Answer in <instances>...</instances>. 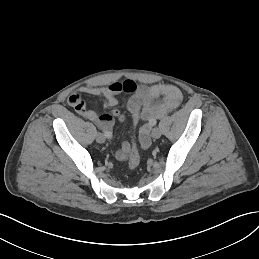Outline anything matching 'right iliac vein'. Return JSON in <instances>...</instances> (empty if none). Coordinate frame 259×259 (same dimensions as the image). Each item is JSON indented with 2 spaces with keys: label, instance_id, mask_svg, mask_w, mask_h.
Instances as JSON below:
<instances>
[{
  "label": "right iliac vein",
  "instance_id": "obj_1",
  "mask_svg": "<svg viewBox=\"0 0 259 259\" xmlns=\"http://www.w3.org/2000/svg\"><path fill=\"white\" fill-rule=\"evenodd\" d=\"M96 140L98 143H104L105 142V136L101 133H98L96 136Z\"/></svg>",
  "mask_w": 259,
  "mask_h": 259
}]
</instances>
